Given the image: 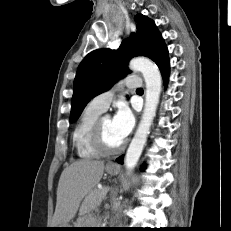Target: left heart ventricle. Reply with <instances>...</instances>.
Here are the masks:
<instances>
[{
	"instance_id": "b2bd125f",
	"label": "left heart ventricle",
	"mask_w": 231,
	"mask_h": 231,
	"mask_svg": "<svg viewBox=\"0 0 231 231\" xmlns=\"http://www.w3.org/2000/svg\"><path fill=\"white\" fill-rule=\"evenodd\" d=\"M102 130H103V138L107 146L116 147L123 142L115 132L112 125V120L110 118L103 119Z\"/></svg>"
}]
</instances>
